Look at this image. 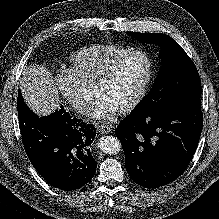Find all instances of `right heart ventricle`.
I'll return each instance as SVG.
<instances>
[{
    "mask_svg": "<svg viewBox=\"0 0 219 219\" xmlns=\"http://www.w3.org/2000/svg\"><path fill=\"white\" fill-rule=\"evenodd\" d=\"M131 49L122 45H96L82 49L71 57V70L84 81H97L106 68Z\"/></svg>",
    "mask_w": 219,
    "mask_h": 219,
    "instance_id": "1",
    "label": "right heart ventricle"
}]
</instances>
